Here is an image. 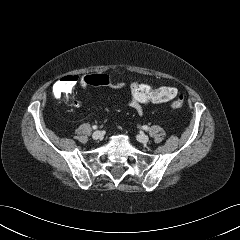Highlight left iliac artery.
Here are the masks:
<instances>
[{
  "label": "left iliac artery",
  "instance_id": "1",
  "mask_svg": "<svg viewBox=\"0 0 240 240\" xmlns=\"http://www.w3.org/2000/svg\"><path fill=\"white\" fill-rule=\"evenodd\" d=\"M142 128H143L144 130H146V131L149 129V127L146 126V125H144Z\"/></svg>",
  "mask_w": 240,
  "mask_h": 240
}]
</instances>
